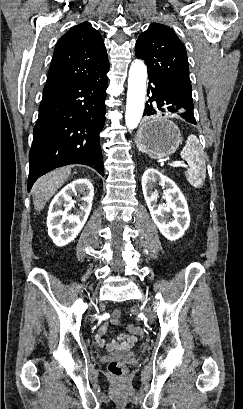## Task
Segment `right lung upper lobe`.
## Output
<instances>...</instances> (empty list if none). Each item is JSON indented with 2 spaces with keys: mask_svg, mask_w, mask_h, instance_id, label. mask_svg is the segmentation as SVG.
<instances>
[{
  "mask_svg": "<svg viewBox=\"0 0 243 409\" xmlns=\"http://www.w3.org/2000/svg\"><path fill=\"white\" fill-rule=\"evenodd\" d=\"M109 69L101 34L90 23L72 27L57 42L46 84L85 81Z\"/></svg>",
  "mask_w": 243,
  "mask_h": 409,
  "instance_id": "cb5924a9",
  "label": "right lung upper lobe"
}]
</instances>
